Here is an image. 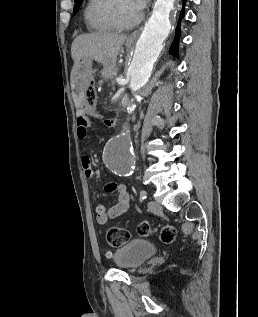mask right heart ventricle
<instances>
[{"label":"right heart ventricle","instance_id":"1","mask_svg":"<svg viewBox=\"0 0 258 317\" xmlns=\"http://www.w3.org/2000/svg\"><path fill=\"white\" fill-rule=\"evenodd\" d=\"M113 0H88L84 7V20L87 28L95 33H110L114 28L107 22L104 11Z\"/></svg>","mask_w":258,"mask_h":317}]
</instances>
